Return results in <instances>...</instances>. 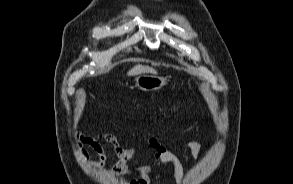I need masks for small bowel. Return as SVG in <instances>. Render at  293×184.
<instances>
[{"mask_svg": "<svg viewBox=\"0 0 293 184\" xmlns=\"http://www.w3.org/2000/svg\"><path fill=\"white\" fill-rule=\"evenodd\" d=\"M76 140L78 142V149L84 160L88 159V154L82 148L83 145L90 147L97 154V167L99 168L103 167L107 161V153L102 146V142H106L113 147L116 161L110 169L109 177H115L133 170L136 176L130 181V184H153L149 176L150 173L160 169L165 164H171L175 183L182 184L184 168L181 161L156 137H150L148 140V144L154 152L153 160L150 164L138 163L135 160V151L122 147L117 137L111 133H79L76 135ZM188 146L192 158L197 159L200 155L201 144L194 140Z\"/></svg>", "mask_w": 293, "mask_h": 184, "instance_id": "small-bowel-1", "label": "small bowel"}]
</instances>
